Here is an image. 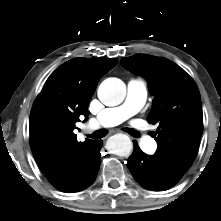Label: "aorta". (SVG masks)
Wrapping results in <instances>:
<instances>
[{
	"mask_svg": "<svg viewBox=\"0 0 221 221\" xmlns=\"http://www.w3.org/2000/svg\"><path fill=\"white\" fill-rule=\"evenodd\" d=\"M126 95V86L118 78L105 79L98 88V98L106 106L122 103ZM107 147L118 156H128L132 149L130 138L125 134H116L109 138Z\"/></svg>",
	"mask_w": 221,
	"mask_h": 221,
	"instance_id": "aorta-1",
	"label": "aorta"
}]
</instances>
